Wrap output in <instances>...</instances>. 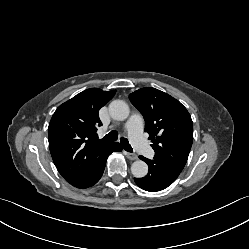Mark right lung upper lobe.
<instances>
[{
  "mask_svg": "<svg viewBox=\"0 0 249 249\" xmlns=\"http://www.w3.org/2000/svg\"><path fill=\"white\" fill-rule=\"evenodd\" d=\"M115 91L87 89L60 105L48 127V140L54 164L63 178L75 186L90 170L98 154L111 144L99 139V110Z\"/></svg>",
  "mask_w": 249,
  "mask_h": 249,
  "instance_id": "right-lung-upper-lobe-1",
  "label": "right lung upper lobe"
}]
</instances>
